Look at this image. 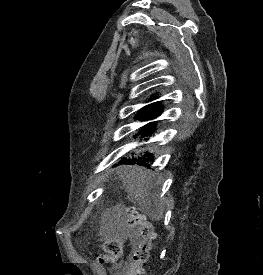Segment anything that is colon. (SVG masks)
<instances>
[{
    "mask_svg": "<svg viewBox=\"0 0 263 275\" xmlns=\"http://www.w3.org/2000/svg\"><path fill=\"white\" fill-rule=\"evenodd\" d=\"M126 225L131 238V258L121 275H144L153 242V229L149 222L135 210H125ZM123 255V246L118 240L107 241L98 262L114 266Z\"/></svg>",
    "mask_w": 263,
    "mask_h": 275,
    "instance_id": "colon-1",
    "label": "colon"
}]
</instances>
